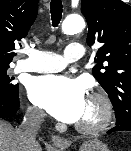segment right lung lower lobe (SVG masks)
<instances>
[{"mask_svg": "<svg viewBox=\"0 0 131 151\" xmlns=\"http://www.w3.org/2000/svg\"><path fill=\"white\" fill-rule=\"evenodd\" d=\"M18 89L12 93L0 92V118H8L19 109Z\"/></svg>", "mask_w": 131, "mask_h": 151, "instance_id": "1", "label": "right lung lower lobe"}]
</instances>
